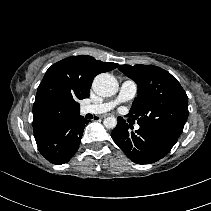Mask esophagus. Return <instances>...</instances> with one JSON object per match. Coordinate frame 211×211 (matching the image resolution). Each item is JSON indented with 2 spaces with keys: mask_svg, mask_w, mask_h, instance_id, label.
I'll return each instance as SVG.
<instances>
[{
  "mask_svg": "<svg viewBox=\"0 0 211 211\" xmlns=\"http://www.w3.org/2000/svg\"><path fill=\"white\" fill-rule=\"evenodd\" d=\"M108 116H109L108 114H104V115H101L100 118L103 119V118H106V117H108Z\"/></svg>",
  "mask_w": 211,
  "mask_h": 211,
  "instance_id": "1",
  "label": "esophagus"
}]
</instances>
